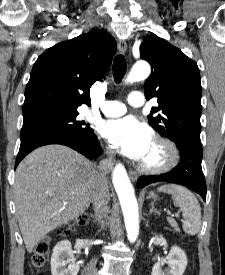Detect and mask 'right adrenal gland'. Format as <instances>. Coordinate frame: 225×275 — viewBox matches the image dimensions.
I'll use <instances>...</instances> for the list:
<instances>
[{
	"label": "right adrenal gland",
	"instance_id": "right-adrenal-gland-1",
	"mask_svg": "<svg viewBox=\"0 0 225 275\" xmlns=\"http://www.w3.org/2000/svg\"><path fill=\"white\" fill-rule=\"evenodd\" d=\"M90 216H91V218H92L94 221L97 220L96 215L91 214Z\"/></svg>",
	"mask_w": 225,
	"mask_h": 275
}]
</instances>
